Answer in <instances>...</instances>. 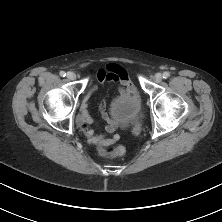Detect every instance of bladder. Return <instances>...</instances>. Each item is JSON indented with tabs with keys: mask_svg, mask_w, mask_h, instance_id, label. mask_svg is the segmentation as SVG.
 <instances>
[{
	"mask_svg": "<svg viewBox=\"0 0 222 222\" xmlns=\"http://www.w3.org/2000/svg\"><path fill=\"white\" fill-rule=\"evenodd\" d=\"M142 111L141 100L134 95H129L125 99L117 98L113 104V115L115 118L129 121Z\"/></svg>",
	"mask_w": 222,
	"mask_h": 222,
	"instance_id": "31cf9c89",
	"label": "bladder"
}]
</instances>
